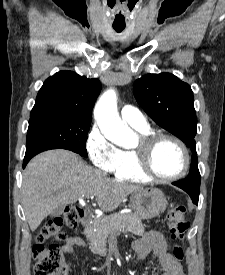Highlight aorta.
<instances>
[{
    "label": "aorta",
    "mask_w": 225,
    "mask_h": 275,
    "mask_svg": "<svg viewBox=\"0 0 225 275\" xmlns=\"http://www.w3.org/2000/svg\"><path fill=\"white\" fill-rule=\"evenodd\" d=\"M94 117L102 134L120 147L131 148L137 143V135L123 122L117 110L115 89H108L99 98Z\"/></svg>",
    "instance_id": "obj_1"
}]
</instances>
